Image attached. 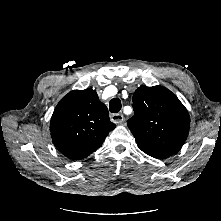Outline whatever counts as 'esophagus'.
Listing matches in <instances>:
<instances>
[{"instance_id": "34e87169", "label": "esophagus", "mask_w": 221, "mask_h": 221, "mask_svg": "<svg viewBox=\"0 0 221 221\" xmlns=\"http://www.w3.org/2000/svg\"><path fill=\"white\" fill-rule=\"evenodd\" d=\"M111 121L115 124H121L124 121V115L121 113L112 114Z\"/></svg>"}]
</instances>
